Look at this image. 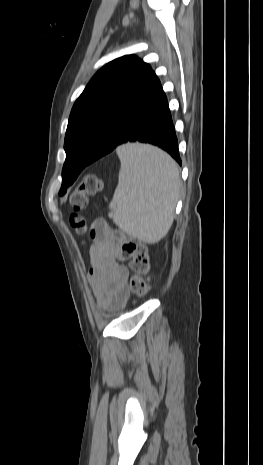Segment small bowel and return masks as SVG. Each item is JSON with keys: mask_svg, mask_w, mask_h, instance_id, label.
I'll use <instances>...</instances> for the list:
<instances>
[{"mask_svg": "<svg viewBox=\"0 0 263 465\" xmlns=\"http://www.w3.org/2000/svg\"><path fill=\"white\" fill-rule=\"evenodd\" d=\"M91 237L94 242L89 251L90 285L101 307L111 311L120 310L129 296L128 269L119 263L121 255L107 227H96Z\"/></svg>", "mask_w": 263, "mask_h": 465, "instance_id": "obj_1", "label": "small bowel"}]
</instances>
